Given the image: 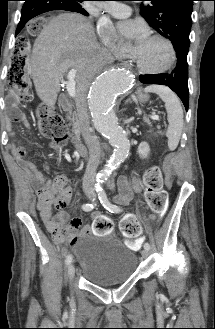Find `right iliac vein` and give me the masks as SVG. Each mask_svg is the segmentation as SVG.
Masks as SVG:
<instances>
[{"label":"right iliac vein","mask_w":215,"mask_h":329,"mask_svg":"<svg viewBox=\"0 0 215 329\" xmlns=\"http://www.w3.org/2000/svg\"><path fill=\"white\" fill-rule=\"evenodd\" d=\"M86 194H87L88 197H90L89 192H87ZM74 274H75L74 265L70 263L69 266H68V276H69L70 281H72V279L74 277Z\"/></svg>","instance_id":"63e3f726"}]
</instances>
